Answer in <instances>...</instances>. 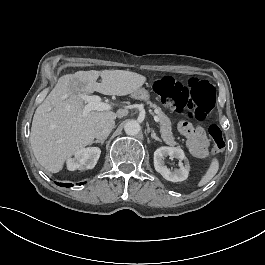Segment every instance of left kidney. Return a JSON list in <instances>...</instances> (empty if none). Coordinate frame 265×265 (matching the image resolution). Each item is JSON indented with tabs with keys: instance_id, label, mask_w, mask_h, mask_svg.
I'll return each mask as SVG.
<instances>
[{
	"instance_id": "obj_1",
	"label": "left kidney",
	"mask_w": 265,
	"mask_h": 265,
	"mask_svg": "<svg viewBox=\"0 0 265 265\" xmlns=\"http://www.w3.org/2000/svg\"><path fill=\"white\" fill-rule=\"evenodd\" d=\"M170 156L179 160H185V166L180 164V168L171 171L164 165V158ZM154 167L166 180L172 182L184 181L188 178L190 166L184 151L177 147H160L154 152Z\"/></svg>"
}]
</instances>
